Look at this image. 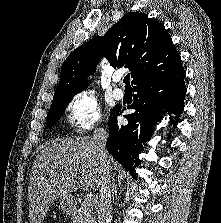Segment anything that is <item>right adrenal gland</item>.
<instances>
[{
  "label": "right adrenal gland",
  "mask_w": 221,
  "mask_h": 223,
  "mask_svg": "<svg viewBox=\"0 0 221 223\" xmlns=\"http://www.w3.org/2000/svg\"><path fill=\"white\" fill-rule=\"evenodd\" d=\"M112 197H113V200L115 199V197L117 196V184H115V182H113L112 184Z\"/></svg>",
  "instance_id": "right-adrenal-gland-1"
}]
</instances>
